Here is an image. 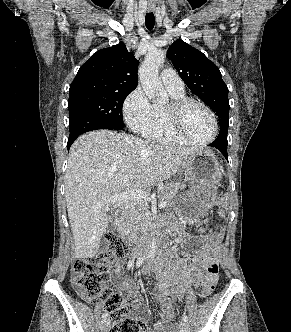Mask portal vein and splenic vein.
I'll use <instances>...</instances> for the list:
<instances>
[{
    "label": "portal vein and splenic vein",
    "instance_id": "18ae733b",
    "mask_svg": "<svg viewBox=\"0 0 291 332\" xmlns=\"http://www.w3.org/2000/svg\"><path fill=\"white\" fill-rule=\"evenodd\" d=\"M149 193L143 190H129L113 195L110 199V202H128V201H140L146 202L148 200ZM167 202H160L158 206L160 208L165 207Z\"/></svg>",
    "mask_w": 291,
    "mask_h": 332
}]
</instances>
